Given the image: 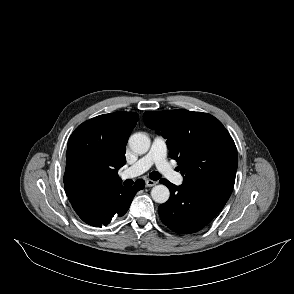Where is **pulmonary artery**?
<instances>
[{
    "mask_svg": "<svg viewBox=\"0 0 294 294\" xmlns=\"http://www.w3.org/2000/svg\"><path fill=\"white\" fill-rule=\"evenodd\" d=\"M153 165L174 183H182V175L177 173L167 161V144L166 140L161 136L153 139L150 150L145 156L122 172V178L126 179L138 176L149 170Z\"/></svg>",
    "mask_w": 294,
    "mask_h": 294,
    "instance_id": "1",
    "label": "pulmonary artery"
}]
</instances>
